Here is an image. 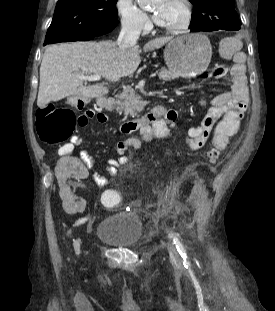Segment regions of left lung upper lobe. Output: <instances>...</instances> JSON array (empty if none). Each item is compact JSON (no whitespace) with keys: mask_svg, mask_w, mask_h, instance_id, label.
I'll use <instances>...</instances> for the list:
<instances>
[{"mask_svg":"<svg viewBox=\"0 0 275 311\" xmlns=\"http://www.w3.org/2000/svg\"><path fill=\"white\" fill-rule=\"evenodd\" d=\"M195 7L191 28H218L236 31L241 22L233 0H189Z\"/></svg>","mask_w":275,"mask_h":311,"instance_id":"left-lung-upper-lobe-1","label":"left lung upper lobe"}]
</instances>
